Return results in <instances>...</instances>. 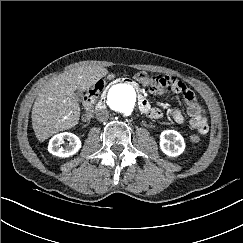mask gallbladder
<instances>
[{
  "mask_svg": "<svg viewBox=\"0 0 243 243\" xmlns=\"http://www.w3.org/2000/svg\"><path fill=\"white\" fill-rule=\"evenodd\" d=\"M75 94H76L77 100H80L81 96H82L81 92H76Z\"/></svg>",
  "mask_w": 243,
  "mask_h": 243,
  "instance_id": "1",
  "label": "gallbladder"
}]
</instances>
